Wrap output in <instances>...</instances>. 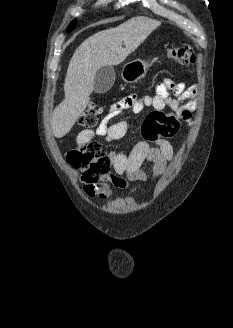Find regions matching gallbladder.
I'll use <instances>...</instances> for the list:
<instances>
[{
    "label": "gallbladder",
    "instance_id": "bac80fb5",
    "mask_svg": "<svg viewBox=\"0 0 233 328\" xmlns=\"http://www.w3.org/2000/svg\"><path fill=\"white\" fill-rule=\"evenodd\" d=\"M115 82V70L112 66H103L95 74L93 90L101 94L107 92Z\"/></svg>",
    "mask_w": 233,
    "mask_h": 328
}]
</instances>
